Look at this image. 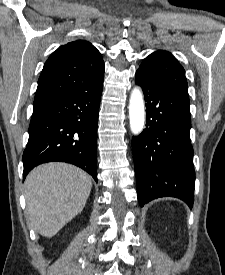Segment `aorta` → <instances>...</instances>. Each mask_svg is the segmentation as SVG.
<instances>
[{"mask_svg":"<svg viewBox=\"0 0 225 275\" xmlns=\"http://www.w3.org/2000/svg\"><path fill=\"white\" fill-rule=\"evenodd\" d=\"M130 129L134 135H139L145 125V106L143 93L139 87H135L129 100Z\"/></svg>","mask_w":225,"mask_h":275,"instance_id":"obj_1","label":"aorta"}]
</instances>
